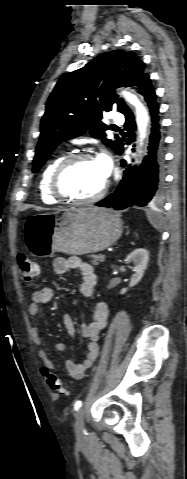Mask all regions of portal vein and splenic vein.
<instances>
[{"label":"portal vein and splenic vein","mask_w":187,"mask_h":479,"mask_svg":"<svg viewBox=\"0 0 187 479\" xmlns=\"http://www.w3.org/2000/svg\"><path fill=\"white\" fill-rule=\"evenodd\" d=\"M108 251H110V250H108ZM101 258H102V259H105V255H102Z\"/></svg>","instance_id":"1"}]
</instances>
